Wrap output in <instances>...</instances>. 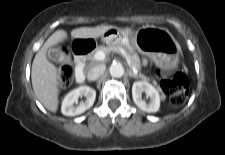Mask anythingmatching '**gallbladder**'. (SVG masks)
<instances>
[{"label": "gallbladder", "mask_w": 225, "mask_h": 155, "mask_svg": "<svg viewBox=\"0 0 225 155\" xmlns=\"http://www.w3.org/2000/svg\"><path fill=\"white\" fill-rule=\"evenodd\" d=\"M48 58L56 63H70V57L57 47H50L47 50Z\"/></svg>", "instance_id": "bac80fb5"}]
</instances>
